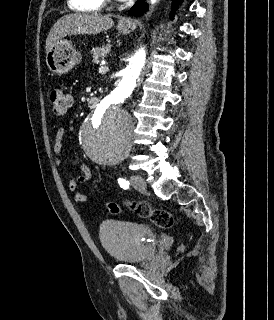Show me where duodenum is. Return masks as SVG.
<instances>
[{"mask_svg": "<svg viewBox=\"0 0 274 320\" xmlns=\"http://www.w3.org/2000/svg\"><path fill=\"white\" fill-rule=\"evenodd\" d=\"M88 104L90 107L95 108L99 104V98L96 96H92L89 98Z\"/></svg>", "mask_w": 274, "mask_h": 320, "instance_id": "1", "label": "duodenum"}]
</instances>
